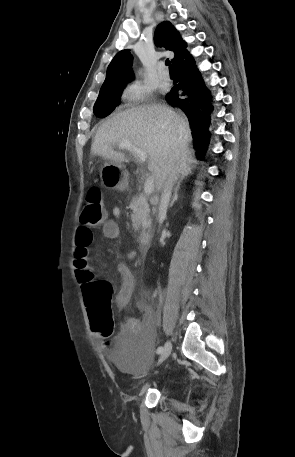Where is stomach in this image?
<instances>
[{
	"instance_id": "stomach-1",
	"label": "stomach",
	"mask_w": 295,
	"mask_h": 457,
	"mask_svg": "<svg viewBox=\"0 0 295 457\" xmlns=\"http://www.w3.org/2000/svg\"><path fill=\"white\" fill-rule=\"evenodd\" d=\"M100 176L103 185L108 189L123 191L128 187V173L119 162L106 160L101 168Z\"/></svg>"
}]
</instances>
